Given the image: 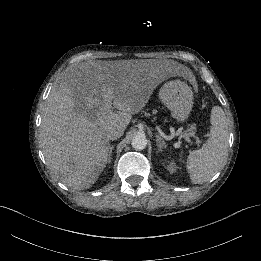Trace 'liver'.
Returning <instances> with one entry per match:
<instances>
[{
    "instance_id": "liver-1",
    "label": "liver",
    "mask_w": 261,
    "mask_h": 261,
    "mask_svg": "<svg viewBox=\"0 0 261 261\" xmlns=\"http://www.w3.org/2000/svg\"><path fill=\"white\" fill-rule=\"evenodd\" d=\"M160 70L150 64L82 63L63 75L46 99L39 131L55 178L75 190L93 186L108 163L107 132L126 130L133 114L146 107L164 81Z\"/></svg>"
}]
</instances>
